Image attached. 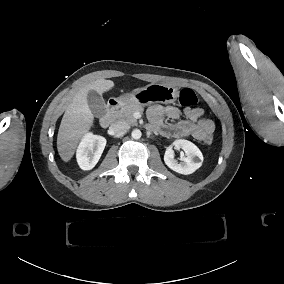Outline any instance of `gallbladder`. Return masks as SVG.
<instances>
[{
    "label": "gallbladder",
    "instance_id": "1",
    "mask_svg": "<svg viewBox=\"0 0 284 284\" xmlns=\"http://www.w3.org/2000/svg\"><path fill=\"white\" fill-rule=\"evenodd\" d=\"M88 105L95 117L100 118L106 114L105 101L94 90H90L88 93Z\"/></svg>",
    "mask_w": 284,
    "mask_h": 284
}]
</instances>
